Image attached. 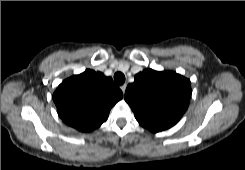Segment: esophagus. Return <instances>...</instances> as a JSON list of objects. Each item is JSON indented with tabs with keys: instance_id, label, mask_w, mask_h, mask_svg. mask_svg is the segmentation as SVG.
<instances>
[{
	"instance_id": "34e87169",
	"label": "esophagus",
	"mask_w": 245,
	"mask_h": 170,
	"mask_svg": "<svg viewBox=\"0 0 245 170\" xmlns=\"http://www.w3.org/2000/svg\"><path fill=\"white\" fill-rule=\"evenodd\" d=\"M126 87H127V85H126V84H124V85H122V86H121V90H122L123 94H125Z\"/></svg>"
}]
</instances>
